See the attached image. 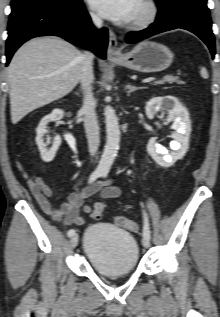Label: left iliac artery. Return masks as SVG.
<instances>
[{
	"label": "left iliac artery",
	"instance_id": "left-iliac-artery-1",
	"mask_svg": "<svg viewBox=\"0 0 220 317\" xmlns=\"http://www.w3.org/2000/svg\"><path fill=\"white\" fill-rule=\"evenodd\" d=\"M108 174V171H104L102 173L103 177H106ZM143 236L147 239L150 240V228H149V222H148V217L146 213L144 212V227H143Z\"/></svg>",
	"mask_w": 220,
	"mask_h": 317
}]
</instances>
